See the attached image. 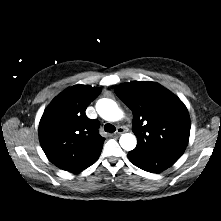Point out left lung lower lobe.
Returning <instances> with one entry per match:
<instances>
[{
	"instance_id": "obj_1",
	"label": "left lung lower lobe",
	"mask_w": 221,
	"mask_h": 221,
	"mask_svg": "<svg viewBox=\"0 0 221 221\" xmlns=\"http://www.w3.org/2000/svg\"><path fill=\"white\" fill-rule=\"evenodd\" d=\"M181 155L169 152L132 150L128 153L129 160L142 170L159 173L172 166Z\"/></svg>"
}]
</instances>
